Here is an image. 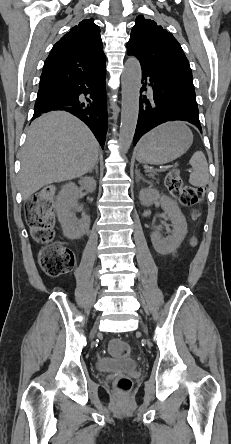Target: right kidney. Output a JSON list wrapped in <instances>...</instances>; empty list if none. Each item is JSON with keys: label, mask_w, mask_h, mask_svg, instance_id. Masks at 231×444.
Instances as JSON below:
<instances>
[{"label": "right kidney", "mask_w": 231, "mask_h": 444, "mask_svg": "<svg viewBox=\"0 0 231 444\" xmlns=\"http://www.w3.org/2000/svg\"><path fill=\"white\" fill-rule=\"evenodd\" d=\"M79 184L88 192H93L96 182L93 178L84 177ZM79 188L72 182L64 185L57 196L56 212L65 237L74 240L88 232L90 217L83 214L77 219L74 211L78 209Z\"/></svg>", "instance_id": "obj_1"}]
</instances>
